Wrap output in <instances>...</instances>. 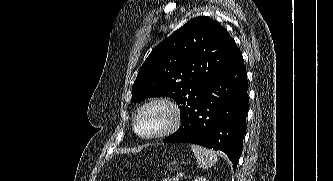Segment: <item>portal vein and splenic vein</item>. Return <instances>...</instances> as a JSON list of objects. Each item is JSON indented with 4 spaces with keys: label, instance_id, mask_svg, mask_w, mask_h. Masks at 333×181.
Listing matches in <instances>:
<instances>
[{
    "label": "portal vein and splenic vein",
    "instance_id": "portal-vein-and-splenic-vein-1",
    "mask_svg": "<svg viewBox=\"0 0 333 181\" xmlns=\"http://www.w3.org/2000/svg\"><path fill=\"white\" fill-rule=\"evenodd\" d=\"M174 181H179V177L176 176V177L174 178Z\"/></svg>",
    "mask_w": 333,
    "mask_h": 181
}]
</instances>
